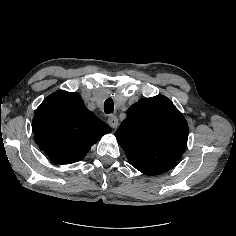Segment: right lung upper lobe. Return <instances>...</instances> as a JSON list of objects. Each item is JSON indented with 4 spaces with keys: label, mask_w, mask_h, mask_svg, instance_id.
<instances>
[{
    "label": "right lung upper lobe",
    "mask_w": 236,
    "mask_h": 236,
    "mask_svg": "<svg viewBox=\"0 0 236 236\" xmlns=\"http://www.w3.org/2000/svg\"><path fill=\"white\" fill-rule=\"evenodd\" d=\"M32 130L36 143L55 163L80 161L111 128L89 111L77 93L57 91L38 107Z\"/></svg>",
    "instance_id": "obj_1"
}]
</instances>
